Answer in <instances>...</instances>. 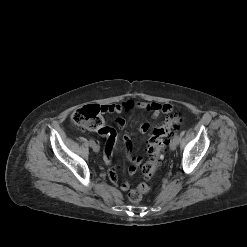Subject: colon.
I'll return each mask as SVG.
<instances>
[{
    "label": "colon",
    "instance_id": "colon-1",
    "mask_svg": "<svg viewBox=\"0 0 247 247\" xmlns=\"http://www.w3.org/2000/svg\"><path fill=\"white\" fill-rule=\"evenodd\" d=\"M105 108L96 104L86 105L76 110L72 116V123L80 128L99 132L103 128V113ZM183 122L180 113L170 117L161 126L155 128L148 141V160L142 167L145 179L150 180L156 174L162 156L163 149L168 138L174 131H177ZM150 191V186L146 183L139 184L129 193L132 202H139L143 195Z\"/></svg>",
    "mask_w": 247,
    "mask_h": 247
}]
</instances>
